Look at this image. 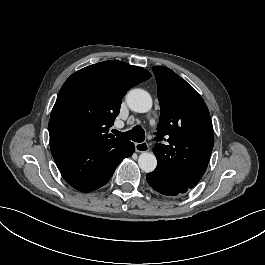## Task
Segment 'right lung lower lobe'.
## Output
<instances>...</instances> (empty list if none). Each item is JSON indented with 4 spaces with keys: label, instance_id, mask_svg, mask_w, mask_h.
<instances>
[{
    "label": "right lung lower lobe",
    "instance_id": "obj_1",
    "mask_svg": "<svg viewBox=\"0 0 265 265\" xmlns=\"http://www.w3.org/2000/svg\"><path fill=\"white\" fill-rule=\"evenodd\" d=\"M50 149L65 181L81 192H90L109 181L118 164L132 155L135 146L117 139L93 142L53 137Z\"/></svg>",
    "mask_w": 265,
    "mask_h": 265
}]
</instances>
